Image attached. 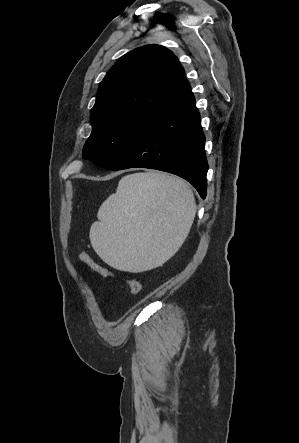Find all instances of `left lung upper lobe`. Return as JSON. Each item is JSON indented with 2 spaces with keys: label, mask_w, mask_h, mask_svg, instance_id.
<instances>
[{
  "label": "left lung upper lobe",
  "mask_w": 299,
  "mask_h": 443,
  "mask_svg": "<svg viewBox=\"0 0 299 443\" xmlns=\"http://www.w3.org/2000/svg\"><path fill=\"white\" fill-rule=\"evenodd\" d=\"M188 85L177 57L163 46L122 56L100 84L83 157L112 168Z\"/></svg>",
  "instance_id": "1"
}]
</instances>
